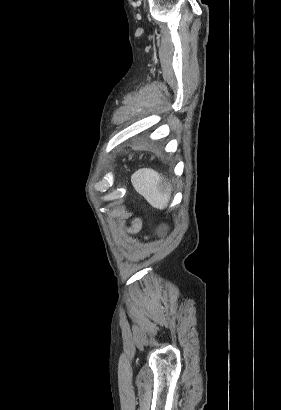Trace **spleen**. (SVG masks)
I'll use <instances>...</instances> for the list:
<instances>
[{"mask_svg":"<svg viewBox=\"0 0 281 410\" xmlns=\"http://www.w3.org/2000/svg\"><path fill=\"white\" fill-rule=\"evenodd\" d=\"M134 189L154 208L163 210L171 197V184L158 172L142 168L131 176Z\"/></svg>","mask_w":281,"mask_h":410,"instance_id":"obj_1","label":"spleen"}]
</instances>
